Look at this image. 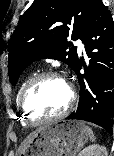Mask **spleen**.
<instances>
[{
    "label": "spleen",
    "instance_id": "spleen-1",
    "mask_svg": "<svg viewBox=\"0 0 114 156\" xmlns=\"http://www.w3.org/2000/svg\"><path fill=\"white\" fill-rule=\"evenodd\" d=\"M88 135H89V138L92 142L95 141L94 133L90 128H88Z\"/></svg>",
    "mask_w": 114,
    "mask_h": 156
}]
</instances>
